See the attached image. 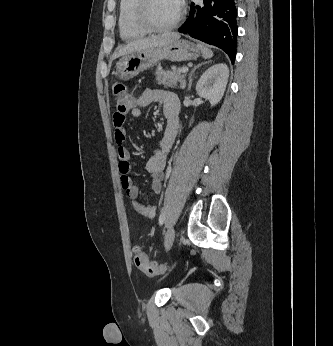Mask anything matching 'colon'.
I'll use <instances>...</instances> for the list:
<instances>
[{"instance_id":"1","label":"colon","mask_w":333,"mask_h":346,"mask_svg":"<svg viewBox=\"0 0 333 346\" xmlns=\"http://www.w3.org/2000/svg\"><path fill=\"white\" fill-rule=\"evenodd\" d=\"M113 94L116 104V112L114 117L121 116L124 118L125 122L126 114L134 106L133 96L127 87L122 83H116L113 86ZM133 260L135 266L146 275L156 276L166 271L165 265L151 261L139 246H135L133 249Z\"/></svg>"}]
</instances>
